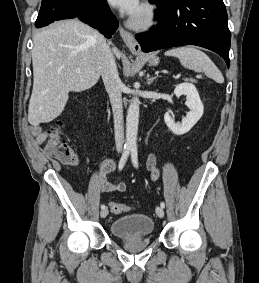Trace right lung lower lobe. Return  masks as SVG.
I'll return each instance as SVG.
<instances>
[{
	"instance_id": "obj_1",
	"label": "right lung lower lobe",
	"mask_w": 259,
	"mask_h": 283,
	"mask_svg": "<svg viewBox=\"0 0 259 283\" xmlns=\"http://www.w3.org/2000/svg\"><path fill=\"white\" fill-rule=\"evenodd\" d=\"M78 18L105 37L110 38L118 27V20L106 0H42L36 28L47 26L55 20Z\"/></svg>"
}]
</instances>
